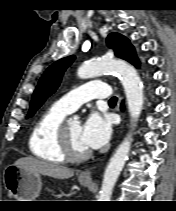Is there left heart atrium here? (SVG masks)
Here are the masks:
<instances>
[{
	"mask_svg": "<svg viewBox=\"0 0 176 211\" xmlns=\"http://www.w3.org/2000/svg\"><path fill=\"white\" fill-rule=\"evenodd\" d=\"M111 135V126L106 117L91 114L82 126L81 140L88 149L104 146Z\"/></svg>",
	"mask_w": 176,
	"mask_h": 211,
	"instance_id": "39dd6f15",
	"label": "left heart atrium"
}]
</instances>
